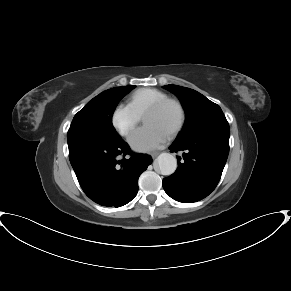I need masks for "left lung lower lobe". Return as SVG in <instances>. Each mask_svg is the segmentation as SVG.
Returning a JSON list of instances; mask_svg holds the SVG:
<instances>
[{
  "instance_id": "1",
  "label": "left lung lower lobe",
  "mask_w": 291,
  "mask_h": 291,
  "mask_svg": "<svg viewBox=\"0 0 291 291\" xmlns=\"http://www.w3.org/2000/svg\"><path fill=\"white\" fill-rule=\"evenodd\" d=\"M230 129L211 131L190 140L174 141L171 152L184 151L178 157L174 174L163 179L165 192L184 203L199 201L217 186L229 153Z\"/></svg>"
}]
</instances>
